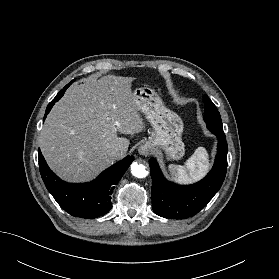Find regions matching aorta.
Returning <instances> with one entry per match:
<instances>
[{
  "instance_id": "1",
  "label": "aorta",
  "mask_w": 279,
  "mask_h": 279,
  "mask_svg": "<svg viewBox=\"0 0 279 279\" xmlns=\"http://www.w3.org/2000/svg\"><path fill=\"white\" fill-rule=\"evenodd\" d=\"M131 172L133 176L137 178H144L148 175V171L146 170V167L142 164H137L136 162L132 163Z\"/></svg>"
}]
</instances>
